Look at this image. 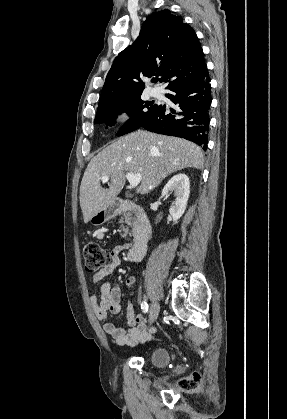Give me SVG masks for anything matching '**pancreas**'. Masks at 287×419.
Segmentation results:
<instances>
[{
    "mask_svg": "<svg viewBox=\"0 0 287 419\" xmlns=\"http://www.w3.org/2000/svg\"><path fill=\"white\" fill-rule=\"evenodd\" d=\"M122 215H123L122 219H124L123 222L125 224H127V226H122V230L124 232L123 237H126V235L129 232V227L130 226H133L134 227L136 225V222H135V219L130 216V214H127L126 212H123Z\"/></svg>",
    "mask_w": 287,
    "mask_h": 419,
    "instance_id": "pancreas-1",
    "label": "pancreas"
}]
</instances>
